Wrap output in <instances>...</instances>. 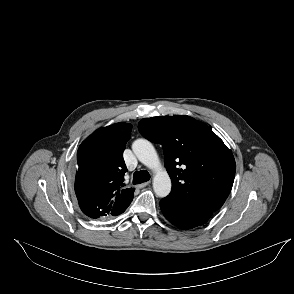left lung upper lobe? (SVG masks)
I'll return each instance as SVG.
<instances>
[{
	"mask_svg": "<svg viewBox=\"0 0 294 294\" xmlns=\"http://www.w3.org/2000/svg\"><path fill=\"white\" fill-rule=\"evenodd\" d=\"M140 133L159 143L172 180L168 196L214 212L227 199L235 177L230 149L206 124L189 116L144 118Z\"/></svg>",
	"mask_w": 294,
	"mask_h": 294,
	"instance_id": "1",
	"label": "left lung upper lobe"
}]
</instances>
